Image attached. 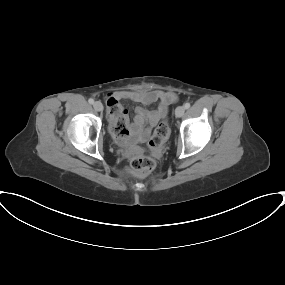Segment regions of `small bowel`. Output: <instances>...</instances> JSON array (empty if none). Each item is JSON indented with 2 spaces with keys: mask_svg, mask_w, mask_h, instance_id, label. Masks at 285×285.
<instances>
[{
  "mask_svg": "<svg viewBox=\"0 0 285 285\" xmlns=\"http://www.w3.org/2000/svg\"><path fill=\"white\" fill-rule=\"evenodd\" d=\"M114 99L116 101L124 99L141 103L142 105H150L158 102L159 105L155 109L148 110L144 107H137L132 123L129 122V117L126 109L120 106V118H122L128 125L129 134L124 140L129 145H134L138 142H145L150 137L152 128L165 115L169 105L177 100V96L173 92L152 90V91H123L112 94L108 100ZM108 114L110 124H114L118 117L113 114Z\"/></svg>",
  "mask_w": 285,
  "mask_h": 285,
  "instance_id": "1",
  "label": "small bowel"
}]
</instances>
